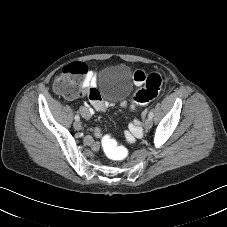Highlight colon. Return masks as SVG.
Wrapping results in <instances>:
<instances>
[{"instance_id":"obj_1","label":"colon","mask_w":227,"mask_h":227,"mask_svg":"<svg viewBox=\"0 0 227 227\" xmlns=\"http://www.w3.org/2000/svg\"><path fill=\"white\" fill-rule=\"evenodd\" d=\"M82 74L81 65L73 63L67 65L63 71L57 76L54 86L55 89L66 97H73L79 88L78 78ZM134 81H142L141 87L134 93L131 99L132 105H146L155 99L162 89L164 78L159 73H151L144 76L142 71H137L133 75ZM92 101H97L99 98L97 90H92L89 94ZM103 149L110 160H122L128 150L119 148L110 142L109 138H104L102 141Z\"/></svg>"}]
</instances>
